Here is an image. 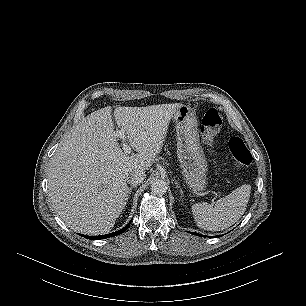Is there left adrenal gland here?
Masks as SVG:
<instances>
[{
	"instance_id": "1",
	"label": "left adrenal gland",
	"mask_w": 306,
	"mask_h": 306,
	"mask_svg": "<svg viewBox=\"0 0 306 306\" xmlns=\"http://www.w3.org/2000/svg\"><path fill=\"white\" fill-rule=\"evenodd\" d=\"M175 184H176V187L180 190V195L181 197L183 196V191H182V188L179 186L178 182L175 181Z\"/></svg>"
}]
</instances>
